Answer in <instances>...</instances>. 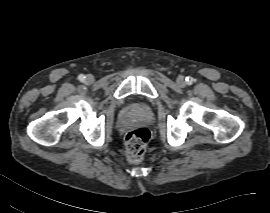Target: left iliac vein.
<instances>
[{
    "mask_svg": "<svg viewBox=\"0 0 270 213\" xmlns=\"http://www.w3.org/2000/svg\"><path fill=\"white\" fill-rule=\"evenodd\" d=\"M178 83H179L180 85H183V84H184V79H183L182 76H180V77L178 78Z\"/></svg>",
    "mask_w": 270,
    "mask_h": 213,
    "instance_id": "obj_1",
    "label": "left iliac vein"
}]
</instances>
